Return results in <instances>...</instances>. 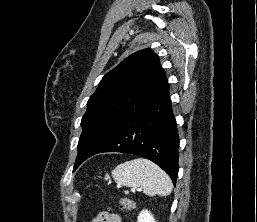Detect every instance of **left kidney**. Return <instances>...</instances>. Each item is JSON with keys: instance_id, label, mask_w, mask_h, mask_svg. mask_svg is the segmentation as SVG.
Returning <instances> with one entry per match:
<instances>
[{"instance_id": "5707ae66", "label": "left kidney", "mask_w": 257, "mask_h": 222, "mask_svg": "<svg viewBox=\"0 0 257 222\" xmlns=\"http://www.w3.org/2000/svg\"><path fill=\"white\" fill-rule=\"evenodd\" d=\"M137 222H156L153 215L148 210H142Z\"/></svg>"}]
</instances>
